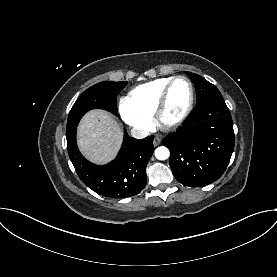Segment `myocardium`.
I'll return each instance as SVG.
<instances>
[{"label": "myocardium", "mask_w": 277, "mask_h": 277, "mask_svg": "<svg viewBox=\"0 0 277 277\" xmlns=\"http://www.w3.org/2000/svg\"><path fill=\"white\" fill-rule=\"evenodd\" d=\"M179 80H184L185 82H187V84L189 86V89H190L189 101H188L186 108L184 109V111L178 118L168 121L164 118L165 109H166L167 102L169 99L170 91H171L173 85ZM194 102H195V89H194V85H193L192 81L188 77L183 76V75L175 76L165 86L164 90L161 93V96L157 102V105L155 107V111L153 114L155 121L161 127L165 128V129L177 128V127L181 126L186 121V119L189 117V115L193 109Z\"/></svg>", "instance_id": "f54148a6"}]
</instances>
